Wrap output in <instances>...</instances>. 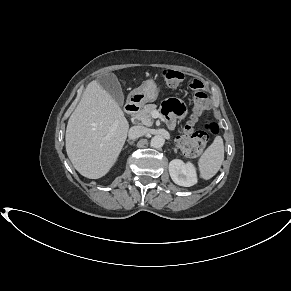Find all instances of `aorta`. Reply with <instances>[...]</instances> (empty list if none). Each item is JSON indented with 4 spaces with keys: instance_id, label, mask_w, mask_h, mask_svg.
Listing matches in <instances>:
<instances>
[{
    "instance_id": "obj_1",
    "label": "aorta",
    "mask_w": 291,
    "mask_h": 291,
    "mask_svg": "<svg viewBox=\"0 0 291 291\" xmlns=\"http://www.w3.org/2000/svg\"><path fill=\"white\" fill-rule=\"evenodd\" d=\"M164 138L160 135H156L151 139L150 145L153 148H161L164 145Z\"/></svg>"
}]
</instances>
